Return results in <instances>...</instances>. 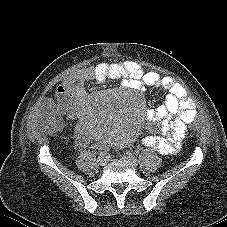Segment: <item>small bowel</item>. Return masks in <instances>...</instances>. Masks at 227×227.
<instances>
[{"label": "small bowel", "mask_w": 227, "mask_h": 227, "mask_svg": "<svg viewBox=\"0 0 227 227\" xmlns=\"http://www.w3.org/2000/svg\"><path fill=\"white\" fill-rule=\"evenodd\" d=\"M109 79H122L124 86L135 90L153 86L167 92L161 105L147 111L146 119L155 125L153 132L145 136L142 143L162 154L177 153L184 140L181 128L195 118V103L187 96L185 88L172 77L161 76L155 71L145 72L135 62L100 63L70 74L58 86L55 98L45 101L43 111L51 112L55 101L63 109H74L87 96L85 83L102 84Z\"/></svg>", "instance_id": "small-bowel-1"}]
</instances>
